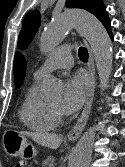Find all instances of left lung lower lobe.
<instances>
[{
  "mask_svg": "<svg viewBox=\"0 0 125 167\" xmlns=\"http://www.w3.org/2000/svg\"><path fill=\"white\" fill-rule=\"evenodd\" d=\"M105 28L107 29L111 39L113 40V35H112V32H111V28H110V22L104 24Z\"/></svg>",
  "mask_w": 125,
  "mask_h": 167,
  "instance_id": "obj_1",
  "label": "left lung lower lobe"
}]
</instances>
